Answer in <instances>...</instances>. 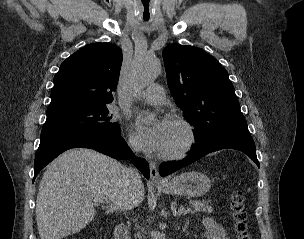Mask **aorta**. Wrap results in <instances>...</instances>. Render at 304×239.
I'll list each match as a JSON object with an SVG mask.
<instances>
[{
    "mask_svg": "<svg viewBox=\"0 0 304 239\" xmlns=\"http://www.w3.org/2000/svg\"><path fill=\"white\" fill-rule=\"evenodd\" d=\"M160 68L161 63L155 57L147 55L136 57L132 65L130 86L134 90L145 87L158 77Z\"/></svg>",
    "mask_w": 304,
    "mask_h": 239,
    "instance_id": "obj_1",
    "label": "aorta"
}]
</instances>
